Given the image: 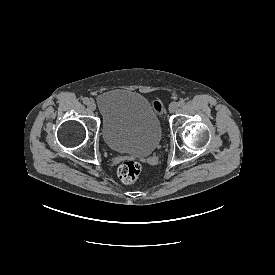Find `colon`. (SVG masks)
<instances>
[{"instance_id": "colon-1", "label": "colon", "mask_w": 275, "mask_h": 275, "mask_svg": "<svg viewBox=\"0 0 275 275\" xmlns=\"http://www.w3.org/2000/svg\"><path fill=\"white\" fill-rule=\"evenodd\" d=\"M152 108L156 113H161L163 111V104L157 100L152 101ZM141 165L137 161L127 160L124 161L118 169V175L122 182L126 184H131L137 180L141 173Z\"/></svg>"}]
</instances>
